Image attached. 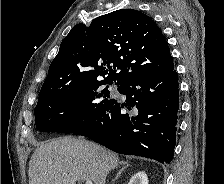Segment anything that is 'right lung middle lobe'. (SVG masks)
Instances as JSON below:
<instances>
[{"instance_id":"right-lung-middle-lobe-1","label":"right lung middle lobe","mask_w":224,"mask_h":184,"mask_svg":"<svg viewBox=\"0 0 224 184\" xmlns=\"http://www.w3.org/2000/svg\"><path fill=\"white\" fill-rule=\"evenodd\" d=\"M92 82L70 86L37 103L35 124L41 132L73 133L96 120L114 101L108 86ZM121 85H118V90Z\"/></svg>"}]
</instances>
